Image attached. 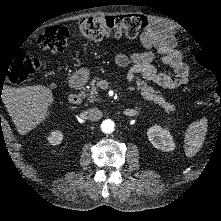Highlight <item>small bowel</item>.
<instances>
[{
    "mask_svg": "<svg viewBox=\"0 0 221 221\" xmlns=\"http://www.w3.org/2000/svg\"><path fill=\"white\" fill-rule=\"evenodd\" d=\"M150 23L151 27L140 35L145 51L131 55L117 53L114 57L115 63L120 67L130 66L126 74L130 82H136L137 77L141 76L146 81L168 89L190 83L192 77L189 67L177 49V40L172 28L157 20H150ZM156 53L160 54L162 62L173 68L174 76L157 73L153 66Z\"/></svg>",
    "mask_w": 221,
    "mask_h": 221,
    "instance_id": "1",
    "label": "small bowel"
}]
</instances>
